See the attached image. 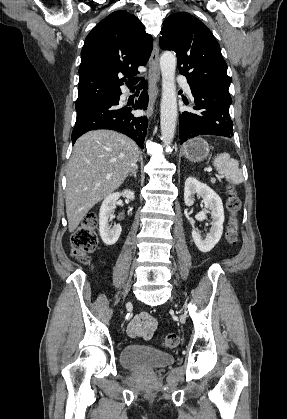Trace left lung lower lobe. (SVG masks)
Instances as JSON below:
<instances>
[{"label": "left lung lower lobe", "instance_id": "1", "mask_svg": "<svg viewBox=\"0 0 287 419\" xmlns=\"http://www.w3.org/2000/svg\"><path fill=\"white\" fill-rule=\"evenodd\" d=\"M196 112H183L179 116L180 144L202 135H216L231 138L233 122L229 115L232 103L228 91L191 86Z\"/></svg>", "mask_w": 287, "mask_h": 419}]
</instances>
